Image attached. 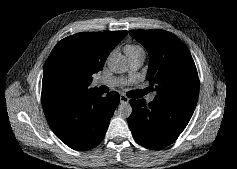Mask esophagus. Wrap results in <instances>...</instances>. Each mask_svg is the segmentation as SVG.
Returning <instances> with one entry per match:
<instances>
[{
  "label": "esophagus",
  "mask_w": 237,
  "mask_h": 169,
  "mask_svg": "<svg viewBox=\"0 0 237 169\" xmlns=\"http://www.w3.org/2000/svg\"><path fill=\"white\" fill-rule=\"evenodd\" d=\"M120 102L121 103H128L129 102V98L123 94L120 95Z\"/></svg>",
  "instance_id": "esophagus-1"
}]
</instances>
